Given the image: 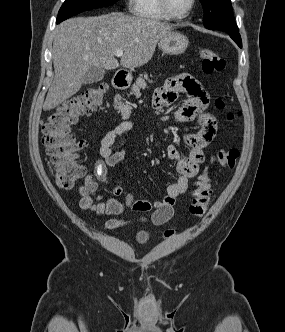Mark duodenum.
Returning a JSON list of instances; mask_svg holds the SVG:
<instances>
[{
    "label": "duodenum",
    "instance_id": "obj_1",
    "mask_svg": "<svg viewBox=\"0 0 285 332\" xmlns=\"http://www.w3.org/2000/svg\"><path fill=\"white\" fill-rule=\"evenodd\" d=\"M114 87L117 89H124L127 86V77L124 73L119 72L113 79Z\"/></svg>",
    "mask_w": 285,
    "mask_h": 332
}]
</instances>
